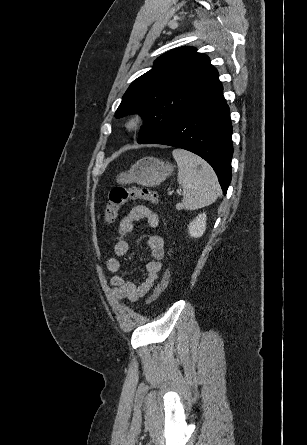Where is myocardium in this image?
I'll return each mask as SVG.
<instances>
[{
  "mask_svg": "<svg viewBox=\"0 0 307 445\" xmlns=\"http://www.w3.org/2000/svg\"><path fill=\"white\" fill-rule=\"evenodd\" d=\"M149 122V114L143 109H134L128 112L123 120V129L131 133L145 127Z\"/></svg>",
  "mask_w": 307,
  "mask_h": 445,
  "instance_id": "myocardium-1",
  "label": "myocardium"
}]
</instances>
